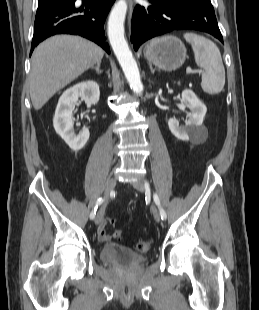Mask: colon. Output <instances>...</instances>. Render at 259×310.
I'll return each instance as SVG.
<instances>
[{"label":"colon","mask_w":259,"mask_h":310,"mask_svg":"<svg viewBox=\"0 0 259 310\" xmlns=\"http://www.w3.org/2000/svg\"><path fill=\"white\" fill-rule=\"evenodd\" d=\"M107 223L110 225H115L116 224V220L114 218H109L107 220ZM122 236V231L120 229H116L113 232V237L114 238H120ZM151 248V243L149 241L143 240L138 242L135 247L134 250L138 253H146L150 250Z\"/></svg>","instance_id":"5ec220e1"}]
</instances>
